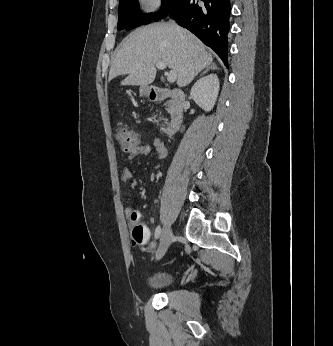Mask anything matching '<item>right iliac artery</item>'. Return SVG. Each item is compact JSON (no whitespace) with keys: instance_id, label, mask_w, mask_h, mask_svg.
Wrapping results in <instances>:
<instances>
[{"instance_id":"obj_1","label":"right iliac artery","mask_w":333,"mask_h":346,"mask_svg":"<svg viewBox=\"0 0 333 346\" xmlns=\"http://www.w3.org/2000/svg\"><path fill=\"white\" fill-rule=\"evenodd\" d=\"M161 234V227L157 226L155 229V238L158 239Z\"/></svg>"}]
</instances>
